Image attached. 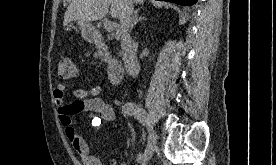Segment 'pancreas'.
Segmentation results:
<instances>
[{"label": "pancreas", "mask_w": 276, "mask_h": 165, "mask_svg": "<svg viewBox=\"0 0 276 165\" xmlns=\"http://www.w3.org/2000/svg\"><path fill=\"white\" fill-rule=\"evenodd\" d=\"M96 55H98L100 57V59L102 61H108L110 59V55H109V52L107 51H97Z\"/></svg>", "instance_id": "cf45deb5"}]
</instances>
